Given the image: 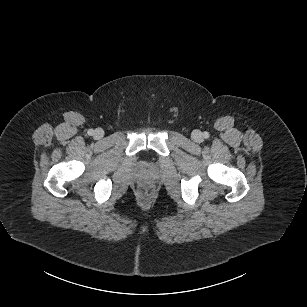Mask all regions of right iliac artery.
Instances as JSON below:
<instances>
[{
  "instance_id": "right-iliac-artery-1",
  "label": "right iliac artery",
  "mask_w": 307,
  "mask_h": 307,
  "mask_svg": "<svg viewBox=\"0 0 307 307\" xmlns=\"http://www.w3.org/2000/svg\"><path fill=\"white\" fill-rule=\"evenodd\" d=\"M87 133H88V135H90V136H91V135H93V134H94V131H93L92 129H89Z\"/></svg>"
}]
</instances>
